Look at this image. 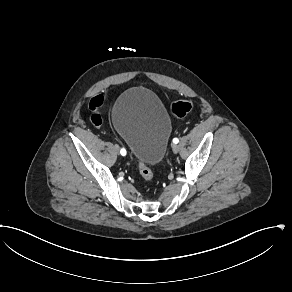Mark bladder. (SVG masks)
I'll list each match as a JSON object with an SVG mask.
<instances>
[{"label": "bladder", "instance_id": "bladder-1", "mask_svg": "<svg viewBox=\"0 0 292 292\" xmlns=\"http://www.w3.org/2000/svg\"><path fill=\"white\" fill-rule=\"evenodd\" d=\"M111 120L139 162L156 166L162 161L172 125L162 101L152 90H125L114 103Z\"/></svg>", "mask_w": 292, "mask_h": 292}]
</instances>
